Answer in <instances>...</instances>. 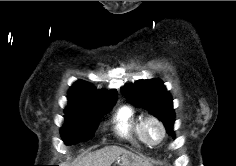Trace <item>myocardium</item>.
Segmentation results:
<instances>
[{
	"label": "myocardium",
	"mask_w": 236,
	"mask_h": 166,
	"mask_svg": "<svg viewBox=\"0 0 236 166\" xmlns=\"http://www.w3.org/2000/svg\"><path fill=\"white\" fill-rule=\"evenodd\" d=\"M150 123L156 124L160 129V136L156 141H152L147 135V126ZM141 137L144 142L149 146H156L160 144L166 136V128L161 119L154 115H147L143 117L140 125Z\"/></svg>",
	"instance_id": "myocardium-1"
}]
</instances>
